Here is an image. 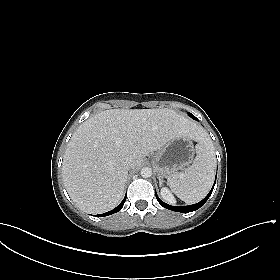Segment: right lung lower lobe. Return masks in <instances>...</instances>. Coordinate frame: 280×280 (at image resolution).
Wrapping results in <instances>:
<instances>
[{"instance_id":"right-lung-lower-lobe-1","label":"right lung lower lobe","mask_w":280,"mask_h":280,"mask_svg":"<svg viewBox=\"0 0 280 280\" xmlns=\"http://www.w3.org/2000/svg\"><path fill=\"white\" fill-rule=\"evenodd\" d=\"M125 201H126V196H125V198L123 199V201H122L116 208H114L113 210H111V211H109V212H106V213H104V214H100V215H98V216H99V217H104V216H108V215H111V214H113V213L118 212V211L121 210V208L123 207Z\"/></svg>"}]
</instances>
